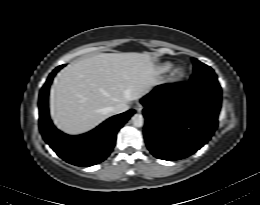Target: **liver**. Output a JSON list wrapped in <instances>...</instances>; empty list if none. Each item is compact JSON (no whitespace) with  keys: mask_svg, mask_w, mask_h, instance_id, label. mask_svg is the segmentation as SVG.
<instances>
[{"mask_svg":"<svg viewBox=\"0 0 260 205\" xmlns=\"http://www.w3.org/2000/svg\"><path fill=\"white\" fill-rule=\"evenodd\" d=\"M150 53H102L66 66L56 77L50 95L51 116L65 133L90 131L119 103L138 100L157 84Z\"/></svg>","mask_w":260,"mask_h":205,"instance_id":"6515ba94","label":"liver"}]
</instances>
